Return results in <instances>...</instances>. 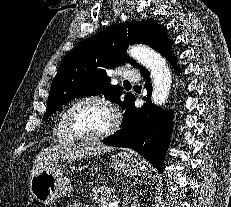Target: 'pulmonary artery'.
I'll return each mask as SVG.
<instances>
[{
	"label": "pulmonary artery",
	"mask_w": 231,
	"mask_h": 207,
	"mask_svg": "<svg viewBox=\"0 0 231 207\" xmlns=\"http://www.w3.org/2000/svg\"><path fill=\"white\" fill-rule=\"evenodd\" d=\"M120 77L128 81H137L139 79V72L130 67H125L121 69Z\"/></svg>",
	"instance_id": "obj_1"
}]
</instances>
